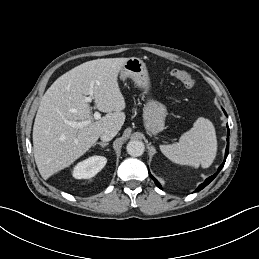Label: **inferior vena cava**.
<instances>
[{"label":"inferior vena cava","instance_id":"obj_1","mask_svg":"<svg viewBox=\"0 0 259 259\" xmlns=\"http://www.w3.org/2000/svg\"><path fill=\"white\" fill-rule=\"evenodd\" d=\"M116 134H117V131L114 130V129L105 130V131L101 134L100 138H101V140H102L103 142H107V141L112 140V139L116 136Z\"/></svg>","mask_w":259,"mask_h":259}]
</instances>
